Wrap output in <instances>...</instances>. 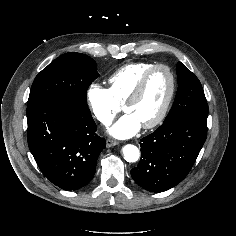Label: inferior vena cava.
<instances>
[{
	"label": "inferior vena cava",
	"mask_w": 236,
	"mask_h": 236,
	"mask_svg": "<svg viewBox=\"0 0 236 236\" xmlns=\"http://www.w3.org/2000/svg\"><path fill=\"white\" fill-rule=\"evenodd\" d=\"M102 123L105 125V126H109V125H111V120L110 119H105V118H103L102 119Z\"/></svg>",
	"instance_id": "1"
}]
</instances>
